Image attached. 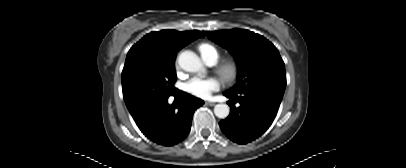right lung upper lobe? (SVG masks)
I'll use <instances>...</instances> for the list:
<instances>
[{
    "mask_svg": "<svg viewBox=\"0 0 406 168\" xmlns=\"http://www.w3.org/2000/svg\"><path fill=\"white\" fill-rule=\"evenodd\" d=\"M201 36H203L202 32L197 30L185 32L162 30L160 32H151L132 46L126 59L141 55L161 61H175L177 52L181 48Z\"/></svg>",
    "mask_w": 406,
    "mask_h": 168,
    "instance_id": "right-lung-upper-lobe-1",
    "label": "right lung upper lobe"
}]
</instances>
